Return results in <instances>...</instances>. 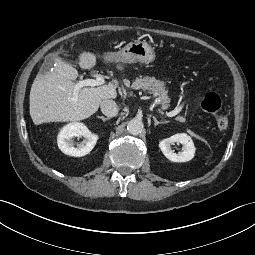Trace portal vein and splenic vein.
Here are the masks:
<instances>
[{
	"label": "portal vein and splenic vein",
	"mask_w": 255,
	"mask_h": 255,
	"mask_svg": "<svg viewBox=\"0 0 255 255\" xmlns=\"http://www.w3.org/2000/svg\"><path fill=\"white\" fill-rule=\"evenodd\" d=\"M105 80L102 76H97L96 79H85L83 81H80L77 85H76V90L84 87V86H98V85H102L104 84ZM176 115L175 111L172 112H167L166 116L167 117H173Z\"/></svg>",
	"instance_id": "18ae733b"
}]
</instances>
